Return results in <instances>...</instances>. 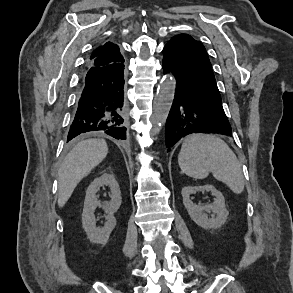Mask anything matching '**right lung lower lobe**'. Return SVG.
Listing matches in <instances>:
<instances>
[{
    "label": "right lung lower lobe",
    "mask_w": 293,
    "mask_h": 293,
    "mask_svg": "<svg viewBox=\"0 0 293 293\" xmlns=\"http://www.w3.org/2000/svg\"><path fill=\"white\" fill-rule=\"evenodd\" d=\"M82 84L67 142L87 132L125 140L124 64L92 67Z\"/></svg>",
    "instance_id": "right-lung-lower-lobe-1"
}]
</instances>
